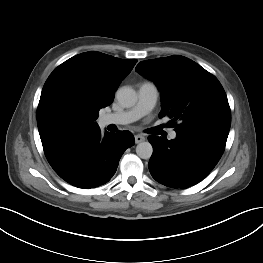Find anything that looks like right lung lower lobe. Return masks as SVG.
I'll return each mask as SVG.
<instances>
[{"mask_svg":"<svg viewBox=\"0 0 263 263\" xmlns=\"http://www.w3.org/2000/svg\"><path fill=\"white\" fill-rule=\"evenodd\" d=\"M134 143L133 134L127 130L101 135L99 126L42 140L45 156L54 171L66 182L83 189L107 183L124 151Z\"/></svg>","mask_w":263,"mask_h":263,"instance_id":"1","label":"right lung lower lobe"}]
</instances>
